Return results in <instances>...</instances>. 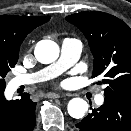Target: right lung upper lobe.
Wrapping results in <instances>:
<instances>
[{"label":"right lung upper lobe","instance_id":"right-lung-upper-lobe-1","mask_svg":"<svg viewBox=\"0 0 131 131\" xmlns=\"http://www.w3.org/2000/svg\"><path fill=\"white\" fill-rule=\"evenodd\" d=\"M49 19V16H0V50L19 52L20 45L27 34Z\"/></svg>","mask_w":131,"mask_h":131}]
</instances>
